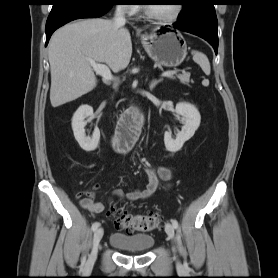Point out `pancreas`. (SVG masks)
<instances>
[{"label": "pancreas", "instance_id": "cf45deb5", "mask_svg": "<svg viewBox=\"0 0 278 278\" xmlns=\"http://www.w3.org/2000/svg\"><path fill=\"white\" fill-rule=\"evenodd\" d=\"M171 78L174 79L175 77L172 76ZM177 78L180 80L181 83L188 85L190 82V73L179 74L177 75Z\"/></svg>", "mask_w": 278, "mask_h": 278}]
</instances>
